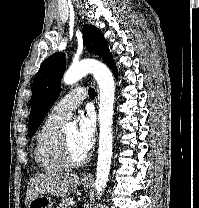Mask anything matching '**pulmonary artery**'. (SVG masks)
<instances>
[{
  "label": "pulmonary artery",
  "mask_w": 199,
  "mask_h": 208,
  "mask_svg": "<svg viewBox=\"0 0 199 208\" xmlns=\"http://www.w3.org/2000/svg\"><path fill=\"white\" fill-rule=\"evenodd\" d=\"M85 97L86 91L83 88L73 89L54 105L49 116L63 122L68 120Z\"/></svg>",
  "instance_id": "obj_1"
}]
</instances>
